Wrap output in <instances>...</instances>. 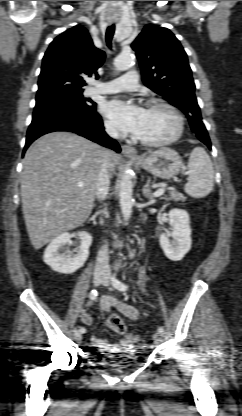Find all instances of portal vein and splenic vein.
<instances>
[{
  "instance_id": "18ae733b",
  "label": "portal vein and splenic vein",
  "mask_w": 242,
  "mask_h": 416,
  "mask_svg": "<svg viewBox=\"0 0 242 416\" xmlns=\"http://www.w3.org/2000/svg\"><path fill=\"white\" fill-rule=\"evenodd\" d=\"M82 186H83L82 184H79V187H82ZM164 192H165V188L162 187V188L158 189L157 191H155V193L153 194V196L154 197H160V196H162L164 194Z\"/></svg>"
}]
</instances>
